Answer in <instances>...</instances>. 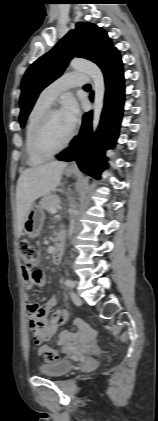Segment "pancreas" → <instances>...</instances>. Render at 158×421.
Masks as SVG:
<instances>
[{
	"label": "pancreas",
	"instance_id": "pancreas-1",
	"mask_svg": "<svg viewBox=\"0 0 158 421\" xmlns=\"http://www.w3.org/2000/svg\"><path fill=\"white\" fill-rule=\"evenodd\" d=\"M60 202H61V200H60L59 196H57L55 194H48L47 196L42 198V200L40 202V206H41V208H43L47 212H51V209L58 207Z\"/></svg>",
	"mask_w": 158,
	"mask_h": 421
}]
</instances>
